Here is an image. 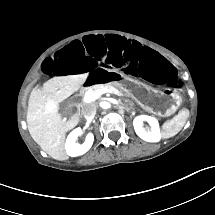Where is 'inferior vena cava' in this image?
Masks as SVG:
<instances>
[{"label": "inferior vena cava", "instance_id": "602c4592", "mask_svg": "<svg viewBox=\"0 0 215 215\" xmlns=\"http://www.w3.org/2000/svg\"><path fill=\"white\" fill-rule=\"evenodd\" d=\"M82 114L87 120H92L96 115V105L87 104L82 108Z\"/></svg>", "mask_w": 215, "mask_h": 215}]
</instances>
